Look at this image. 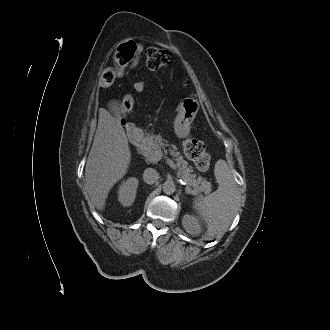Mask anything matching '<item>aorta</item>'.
<instances>
[{
    "label": "aorta",
    "instance_id": "obj_1",
    "mask_svg": "<svg viewBox=\"0 0 330 330\" xmlns=\"http://www.w3.org/2000/svg\"><path fill=\"white\" fill-rule=\"evenodd\" d=\"M162 189H163V192L165 194H173L176 190V186L174 184L173 181L171 180H166L164 183H163V186H162Z\"/></svg>",
    "mask_w": 330,
    "mask_h": 330
}]
</instances>
